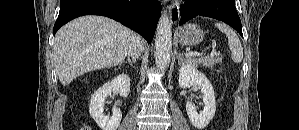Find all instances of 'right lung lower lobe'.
<instances>
[{"label": "right lung lower lobe", "mask_w": 299, "mask_h": 130, "mask_svg": "<svg viewBox=\"0 0 299 130\" xmlns=\"http://www.w3.org/2000/svg\"><path fill=\"white\" fill-rule=\"evenodd\" d=\"M160 11L158 0H61L53 33L55 35L61 26L76 17L101 15L131 28L150 43Z\"/></svg>", "instance_id": "1"}]
</instances>
